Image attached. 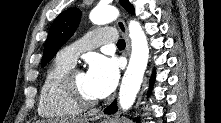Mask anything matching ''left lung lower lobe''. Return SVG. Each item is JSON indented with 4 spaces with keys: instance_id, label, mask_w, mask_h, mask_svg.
I'll list each match as a JSON object with an SVG mask.
<instances>
[{
    "instance_id": "0a47b994",
    "label": "left lung lower lobe",
    "mask_w": 221,
    "mask_h": 123,
    "mask_svg": "<svg viewBox=\"0 0 221 123\" xmlns=\"http://www.w3.org/2000/svg\"><path fill=\"white\" fill-rule=\"evenodd\" d=\"M153 77H154V74H153ZM153 78L151 79V82H153ZM117 111V102H116V100L114 101V102H112V104L111 105H109L105 110H104V112L106 113V114H113V113H115Z\"/></svg>"
}]
</instances>
